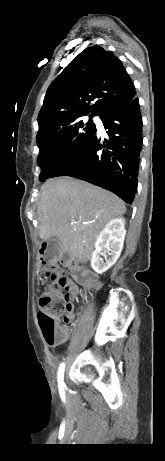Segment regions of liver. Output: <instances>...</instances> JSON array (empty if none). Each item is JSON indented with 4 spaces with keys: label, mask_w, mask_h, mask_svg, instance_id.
<instances>
[{
    "label": "liver",
    "mask_w": 165,
    "mask_h": 461,
    "mask_svg": "<svg viewBox=\"0 0 165 461\" xmlns=\"http://www.w3.org/2000/svg\"><path fill=\"white\" fill-rule=\"evenodd\" d=\"M125 212L124 202L100 187L71 177L49 179L37 209L39 236L57 237L64 251L86 263L103 227Z\"/></svg>",
    "instance_id": "1"
}]
</instances>
